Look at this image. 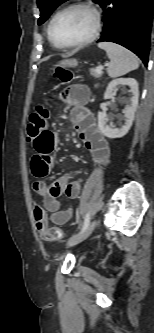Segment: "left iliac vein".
I'll return each mask as SVG.
<instances>
[{
	"label": "left iliac vein",
	"instance_id": "4c4485c4",
	"mask_svg": "<svg viewBox=\"0 0 154 333\" xmlns=\"http://www.w3.org/2000/svg\"><path fill=\"white\" fill-rule=\"evenodd\" d=\"M97 225V220L94 219L88 226L87 228L82 231L81 233H79L78 235L74 236L73 238H71L68 243L67 246L71 247L74 245H77L78 243L82 242L83 240H85L87 237H89V235L93 232V230L95 229Z\"/></svg>",
	"mask_w": 154,
	"mask_h": 333
}]
</instances>
